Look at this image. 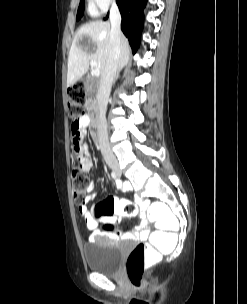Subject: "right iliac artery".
I'll list each match as a JSON object with an SVG mask.
<instances>
[{
	"mask_svg": "<svg viewBox=\"0 0 247 304\" xmlns=\"http://www.w3.org/2000/svg\"><path fill=\"white\" fill-rule=\"evenodd\" d=\"M111 176H112V178L116 179V174H115V172H112V173H111Z\"/></svg>",
	"mask_w": 247,
	"mask_h": 304,
	"instance_id": "82829eb1",
	"label": "right iliac artery"
}]
</instances>
